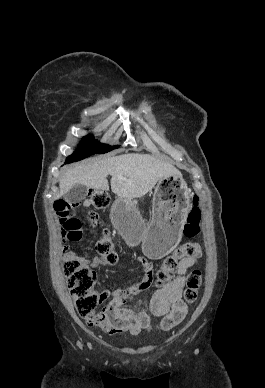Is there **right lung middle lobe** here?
Wrapping results in <instances>:
<instances>
[{
  "instance_id": "right-lung-middle-lobe-1",
  "label": "right lung middle lobe",
  "mask_w": 265,
  "mask_h": 388,
  "mask_svg": "<svg viewBox=\"0 0 265 388\" xmlns=\"http://www.w3.org/2000/svg\"><path fill=\"white\" fill-rule=\"evenodd\" d=\"M115 148L118 147L100 144L94 137L88 135L81 140L77 150L66 159V163L79 161L94 154H103Z\"/></svg>"
}]
</instances>
